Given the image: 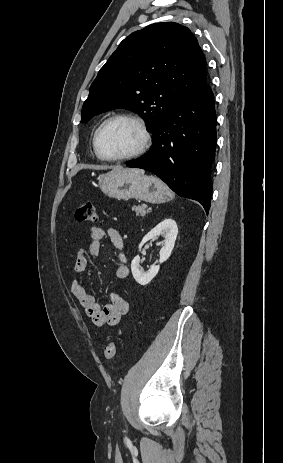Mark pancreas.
I'll return each mask as SVG.
<instances>
[{"label": "pancreas", "mask_w": 283, "mask_h": 463, "mask_svg": "<svg viewBox=\"0 0 283 463\" xmlns=\"http://www.w3.org/2000/svg\"><path fill=\"white\" fill-rule=\"evenodd\" d=\"M132 211L136 212V216L144 217L146 213H148L147 206L145 204L132 206Z\"/></svg>", "instance_id": "1"}]
</instances>
